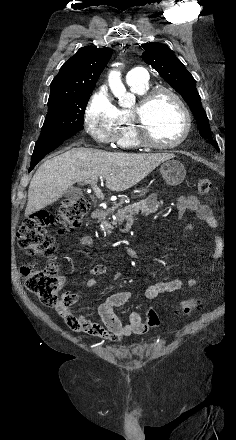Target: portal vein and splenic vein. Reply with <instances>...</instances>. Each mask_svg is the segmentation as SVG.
<instances>
[{"instance_id":"obj_1","label":"portal vein and splenic vein","mask_w":236,"mask_h":440,"mask_svg":"<svg viewBox=\"0 0 236 440\" xmlns=\"http://www.w3.org/2000/svg\"><path fill=\"white\" fill-rule=\"evenodd\" d=\"M96 180L97 179H91V181H88V182L91 183L93 191H94L96 197L98 199L103 200L104 199V195H103L102 191L99 189V187L97 186V181Z\"/></svg>"}]
</instances>
